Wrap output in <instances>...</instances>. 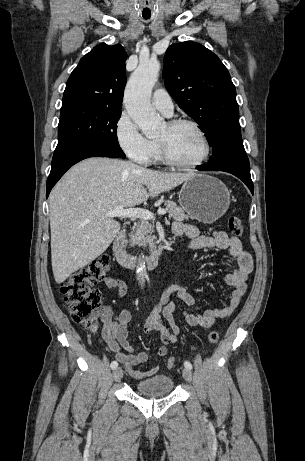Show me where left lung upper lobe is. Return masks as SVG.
Instances as JSON below:
<instances>
[{"label":"left lung upper lobe","mask_w":305,"mask_h":461,"mask_svg":"<svg viewBox=\"0 0 305 461\" xmlns=\"http://www.w3.org/2000/svg\"><path fill=\"white\" fill-rule=\"evenodd\" d=\"M165 86L205 133L213 148L207 164L219 163L233 138L241 137L235 86L221 60L192 41L169 46L164 57Z\"/></svg>","instance_id":"obj_1"}]
</instances>
